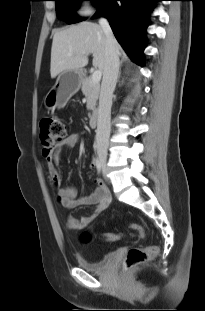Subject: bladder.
I'll return each instance as SVG.
<instances>
[{"mask_svg": "<svg viewBox=\"0 0 205 311\" xmlns=\"http://www.w3.org/2000/svg\"><path fill=\"white\" fill-rule=\"evenodd\" d=\"M115 252H109L105 254L102 259L98 262H91L89 261L86 256L83 254H79L77 256V262L81 268L87 271L92 272H102L106 269L108 264H110L115 259Z\"/></svg>", "mask_w": 205, "mask_h": 311, "instance_id": "obj_1", "label": "bladder"}]
</instances>
